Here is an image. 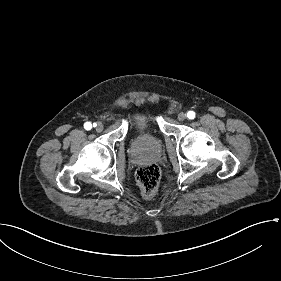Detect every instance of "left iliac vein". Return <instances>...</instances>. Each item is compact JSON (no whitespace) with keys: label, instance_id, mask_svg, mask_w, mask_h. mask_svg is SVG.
<instances>
[{"label":"left iliac vein","instance_id":"4c4485c4","mask_svg":"<svg viewBox=\"0 0 281 281\" xmlns=\"http://www.w3.org/2000/svg\"><path fill=\"white\" fill-rule=\"evenodd\" d=\"M186 118H187V115H186V113H184V112H180V113L178 114V116H177V119H178L179 121H184Z\"/></svg>","mask_w":281,"mask_h":281}]
</instances>
